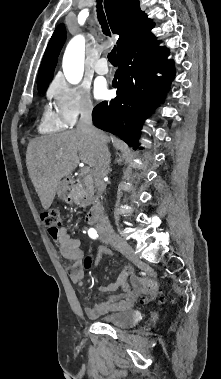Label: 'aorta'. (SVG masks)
I'll return each mask as SVG.
<instances>
[{"label":"aorta","mask_w":221,"mask_h":379,"mask_svg":"<svg viewBox=\"0 0 221 379\" xmlns=\"http://www.w3.org/2000/svg\"><path fill=\"white\" fill-rule=\"evenodd\" d=\"M85 40L82 36L74 37L67 45L62 67L65 78L72 84L81 81L84 71Z\"/></svg>","instance_id":"obj_1"}]
</instances>
